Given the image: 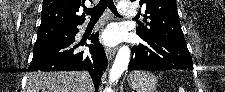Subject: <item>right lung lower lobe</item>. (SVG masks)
Segmentation results:
<instances>
[{
    "mask_svg": "<svg viewBox=\"0 0 225 92\" xmlns=\"http://www.w3.org/2000/svg\"><path fill=\"white\" fill-rule=\"evenodd\" d=\"M79 30L64 40L34 45L33 59L28 71H77L89 72L96 91L99 88L103 71L107 67V57L103 46L99 43L98 33L89 38V50L78 51L75 35Z\"/></svg>",
    "mask_w": 225,
    "mask_h": 92,
    "instance_id": "right-lung-lower-lobe-1",
    "label": "right lung lower lobe"
}]
</instances>
